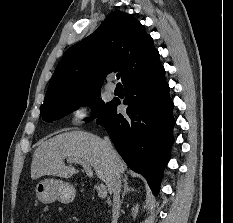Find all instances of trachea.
<instances>
[{
	"mask_svg": "<svg viewBox=\"0 0 233 223\" xmlns=\"http://www.w3.org/2000/svg\"><path fill=\"white\" fill-rule=\"evenodd\" d=\"M116 77H117V80H119V78H120V73H117V74H116Z\"/></svg>",
	"mask_w": 233,
	"mask_h": 223,
	"instance_id": "trachea-1",
	"label": "trachea"
}]
</instances>
